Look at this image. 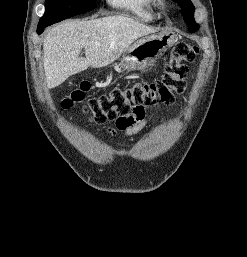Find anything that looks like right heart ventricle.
Returning a JSON list of instances; mask_svg holds the SVG:
<instances>
[{
	"mask_svg": "<svg viewBox=\"0 0 247 257\" xmlns=\"http://www.w3.org/2000/svg\"><path fill=\"white\" fill-rule=\"evenodd\" d=\"M107 2L111 7L143 22H151L156 18L155 0H107Z\"/></svg>",
	"mask_w": 247,
	"mask_h": 257,
	"instance_id": "right-heart-ventricle-1",
	"label": "right heart ventricle"
}]
</instances>
